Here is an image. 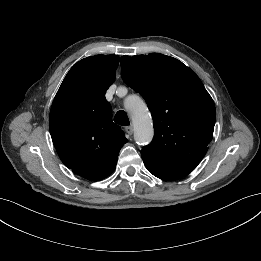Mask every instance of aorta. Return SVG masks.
Returning <instances> with one entry per match:
<instances>
[{
    "label": "aorta",
    "instance_id": "1",
    "mask_svg": "<svg viewBox=\"0 0 261 261\" xmlns=\"http://www.w3.org/2000/svg\"><path fill=\"white\" fill-rule=\"evenodd\" d=\"M125 107L132 119L135 141L141 145L150 143L154 136V129L146 103L138 96H130L125 101Z\"/></svg>",
    "mask_w": 261,
    "mask_h": 261
}]
</instances>
